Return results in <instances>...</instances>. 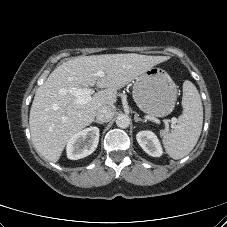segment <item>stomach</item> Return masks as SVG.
Instances as JSON below:
<instances>
[{"label": "stomach", "mask_w": 227, "mask_h": 227, "mask_svg": "<svg viewBox=\"0 0 227 227\" xmlns=\"http://www.w3.org/2000/svg\"><path fill=\"white\" fill-rule=\"evenodd\" d=\"M133 98L144 113L164 117L175 107L177 87L165 70L152 67L136 78Z\"/></svg>", "instance_id": "stomach-1"}]
</instances>
